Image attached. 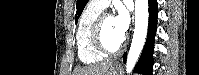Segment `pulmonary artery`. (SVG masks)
Returning <instances> with one entry per match:
<instances>
[{"mask_svg":"<svg viewBox=\"0 0 199 75\" xmlns=\"http://www.w3.org/2000/svg\"><path fill=\"white\" fill-rule=\"evenodd\" d=\"M110 1L109 0H98V1H91L90 4L100 8V9H105L109 5Z\"/></svg>","mask_w":199,"mask_h":75,"instance_id":"pulmonary-artery-1","label":"pulmonary artery"}]
</instances>
